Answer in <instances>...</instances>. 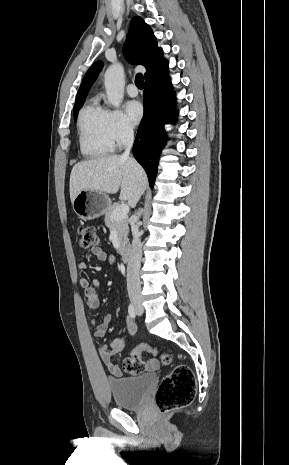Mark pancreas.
<instances>
[{"label": "pancreas", "instance_id": "obj_1", "mask_svg": "<svg viewBox=\"0 0 289 465\" xmlns=\"http://www.w3.org/2000/svg\"><path fill=\"white\" fill-rule=\"evenodd\" d=\"M119 206L118 203L110 205L105 212V225L108 228H113L117 232L118 241L121 250L124 249L128 243V218L127 216L121 220L112 219L114 210Z\"/></svg>", "mask_w": 289, "mask_h": 465}]
</instances>
